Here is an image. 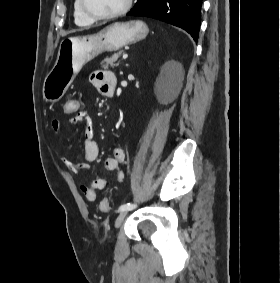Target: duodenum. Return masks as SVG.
Here are the masks:
<instances>
[{
    "label": "duodenum",
    "mask_w": 280,
    "mask_h": 283,
    "mask_svg": "<svg viewBox=\"0 0 280 283\" xmlns=\"http://www.w3.org/2000/svg\"><path fill=\"white\" fill-rule=\"evenodd\" d=\"M113 94H114V87L112 86V87L110 88V91L108 92V96L112 97Z\"/></svg>",
    "instance_id": "1"
}]
</instances>
